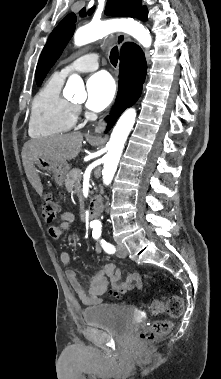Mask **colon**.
I'll return each mask as SVG.
<instances>
[{
	"mask_svg": "<svg viewBox=\"0 0 221 379\" xmlns=\"http://www.w3.org/2000/svg\"><path fill=\"white\" fill-rule=\"evenodd\" d=\"M60 208L56 200L47 195L42 203L41 216L45 223H52L57 220ZM153 315L166 312L170 317H179L184 309L183 300L178 295H171L164 302L160 299L151 301L148 305ZM172 324L168 319L156 320L150 327L141 331L139 338L143 342H152L158 338L166 336L171 330Z\"/></svg>",
	"mask_w": 221,
	"mask_h": 379,
	"instance_id": "obj_1",
	"label": "colon"
}]
</instances>
